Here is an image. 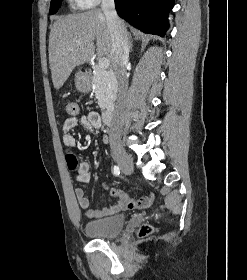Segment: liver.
<instances>
[{"label":"liver","mask_w":247,"mask_h":280,"mask_svg":"<svg viewBox=\"0 0 247 280\" xmlns=\"http://www.w3.org/2000/svg\"><path fill=\"white\" fill-rule=\"evenodd\" d=\"M112 37L106 17L95 9L57 19L49 35V64L54 88L59 89L76 66L96 53L112 61Z\"/></svg>","instance_id":"1"}]
</instances>
